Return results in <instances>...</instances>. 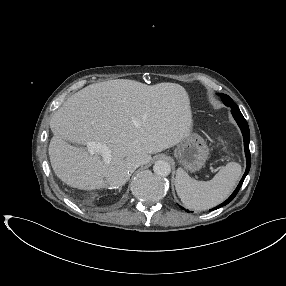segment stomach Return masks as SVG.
<instances>
[{
    "label": "stomach",
    "mask_w": 286,
    "mask_h": 286,
    "mask_svg": "<svg viewBox=\"0 0 286 286\" xmlns=\"http://www.w3.org/2000/svg\"><path fill=\"white\" fill-rule=\"evenodd\" d=\"M209 155L205 140L197 133L190 134L177 146L174 156L179 163L190 172L202 168Z\"/></svg>",
    "instance_id": "0dacf381"
}]
</instances>
